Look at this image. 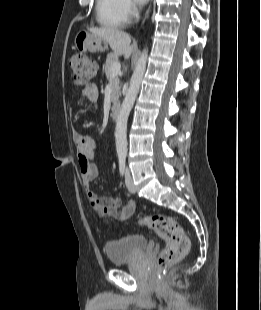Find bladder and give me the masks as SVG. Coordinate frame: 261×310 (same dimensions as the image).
Masks as SVG:
<instances>
[{
  "label": "bladder",
  "mask_w": 261,
  "mask_h": 310,
  "mask_svg": "<svg viewBox=\"0 0 261 310\" xmlns=\"http://www.w3.org/2000/svg\"><path fill=\"white\" fill-rule=\"evenodd\" d=\"M147 239L138 234H126L111 239L105 244V251L109 261L118 265L135 258L147 247Z\"/></svg>",
  "instance_id": "bladder-1"
}]
</instances>
